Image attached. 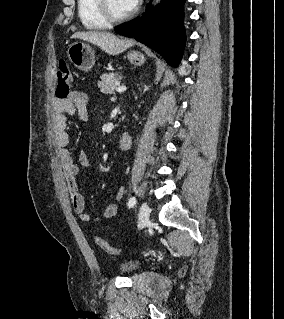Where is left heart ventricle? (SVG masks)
Segmentation results:
<instances>
[{
	"label": "left heart ventricle",
	"mask_w": 284,
	"mask_h": 319,
	"mask_svg": "<svg viewBox=\"0 0 284 319\" xmlns=\"http://www.w3.org/2000/svg\"><path fill=\"white\" fill-rule=\"evenodd\" d=\"M111 11L116 16H122L129 13V9L126 0H109Z\"/></svg>",
	"instance_id": "1"
}]
</instances>
